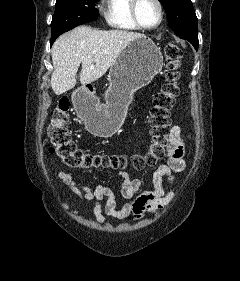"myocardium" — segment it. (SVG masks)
I'll return each mask as SVG.
<instances>
[{
	"label": "myocardium",
	"instance_id": "f54148a6",
	"mask_svg": "<svg viewBox=\"0 0 240 281\" xmlns=\"http://www.w3.org/2000/svg\"><path fill=\"white\" fill-rule=\"evenodd\" d=\"M154 2L156 3L158 10H159V20L158 22L153 25V26H146L144 25L138 15V7H139V3L140 0H131V6H130V12H131V17L132 20L134 21V23L136 24V26L139 29L142 30H154L157 29L158 27H160V25L162 24L163 20H164V6L161 0H154Z\"/></svg>",
	"mask_w": 240,
	"mask_h": 281
}]
</instances>
